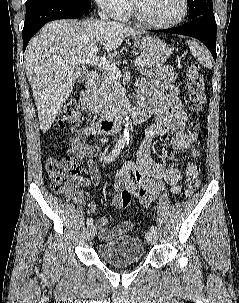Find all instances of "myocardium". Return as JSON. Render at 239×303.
Listing matches in <instances>:
<instances>
[{"mask_svg":"<svg viewBox=\"0 0 239 303\" xmlns=\"http://www.w3.org/2000/svg\"><path fill=\"white\" fill-rule=\"evenodd\" d=\"M182 2V11L181 13L173 20L168 21V22H153L148 19H146L143 14L141 13L136 0H130L131 3V12L134 18L141 23L142 25L149 27V28H154V29H167V28H172L178 24H180L187 16L188 10H189V3L188 0H181Z\"/></svg>","mask_w":239,"mask_h":303,"instance_id":"obj_1","label":"myocardium"}]
</instances>
